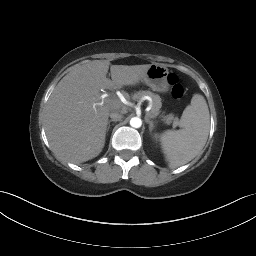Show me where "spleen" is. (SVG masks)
Returning <instances> with one entry per match:
<instances>
[{
  "instance_id": "spleen-1",
  "label": "spleen",
  "mask_w": 256,
  "mask_h": 256,
  "mask_svg": "<svg viewBox=\"0 0 256 256\" xmlns=\"http://www.w3.org/2000/svg\"><path fill=\"white\" fill-rule=\"evenodd\" d=\"M182 129L167 130L161 137V146L170 168H177L195 158L206 144L210 115L204 97L194 94L183 111Z\"/></svg>"
}]
</instances>
